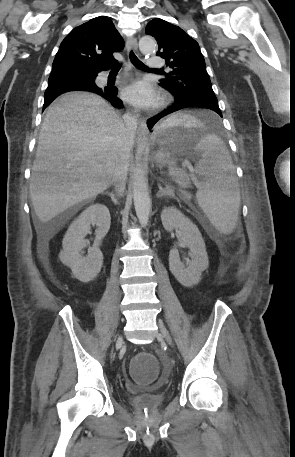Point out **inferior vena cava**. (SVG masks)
Instances as JSON below:
<instances>
[{"instance_id":"inferior-vena-cava-1","label":"inferior vena cava","mask_w":295,"mask_h":457,"mask_svg":"<svg viewBox=\"0 0 295 457\" xmlns=\"http://www.w3.org/2000/svg\"><path fill=\"white\" fill-rule=\"evenodd\" d=\"M123 122L126 127L128 138L133 140L136 128H137V115L127 113L123 116ZM128 161L125 154L121 155L116 161L114 172H113V183L116 187V191L123 195L126 187V179L128 174Z\"/></svg>"}]
</instances>
